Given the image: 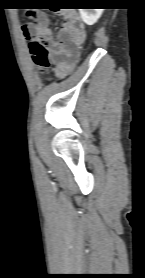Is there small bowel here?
Segmentation results:
<instances>
[{
  "label": "small bowel",
  "mask_w": 145,
  "mask_h": 278,
  "mask_svg": "<svg viewBox=\"0 0 145 278\" xmlns=\"http://www.w3.org/2000/svg\"><path fill=\"white\" fill-rule=\"evenodd\" d=\"M65 20L56 35L52 34L44 13L22 26L26 37L36 36L46 46L51 56V72L64 76L79 57V48L85 40V30L75 13L64 15Z\"/></svg>",
  "instance_id": "1"
}]
</instances>
